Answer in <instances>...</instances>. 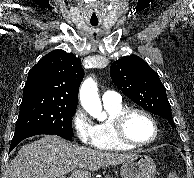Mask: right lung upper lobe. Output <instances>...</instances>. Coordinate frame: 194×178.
<instances>
[{
	"instance_id": "obj_1",
	"label": "right lung upper lobe",
	"mask_w": 194,
	"mask_h": 178,
	"mask_svg": "<svg viewBox=\"0 0 194 178\" xmlns=\"http://www.w3.org/2000/svg\"><path fill=\"white\" fill-rule=\"evenodd\" d=\"M83 77L80 58L63 50H54L30 69L23 100L51 98L77 105L78 89Z\"/></svg>"
}]
</instances>
